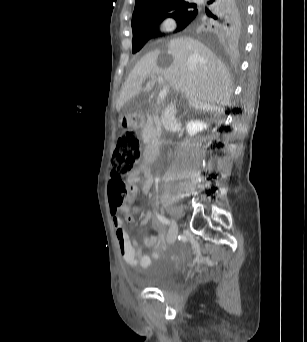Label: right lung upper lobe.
<instances>
[{"mask_svg":"<svg viewBox=\"0 0 307 342\" xmlns=\"http://www.w3.org/2000/svg\"><path fill=\"white\" fill-rule=\"evenodd\" d=\"M239 8L237 0H209L198 6L185 0H135L133 35L155 32L164 18L172 17L177 21L178 30L191 26L211 40L222 41Z\"/></svg>","mask_w":307,"mask_h":342,"instance_id":"obj_1","label":"right lung upper lobe"}]
</instances>
